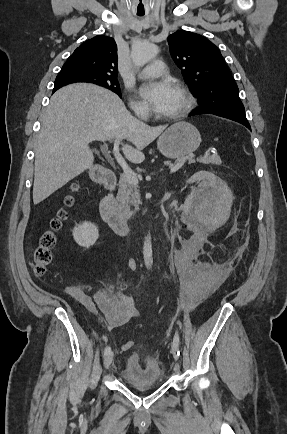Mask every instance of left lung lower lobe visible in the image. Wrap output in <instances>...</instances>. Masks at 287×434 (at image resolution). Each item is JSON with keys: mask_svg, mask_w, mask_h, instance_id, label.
Listing matches in <instances>:
<instances>
[{"mask_svg": "<svg viewBox=\"0 0 287 434\" xmlns=\"http://www.w3.org/2000/svg\"><path fill=\"white\" fill-rule=\"evenodd\" d=\"M214 114L217 116H221L224 118H228L231 120H234L236 122H239L246 126L248 129L251 130L250 124L248 123L245 115L244 108H229V107H222L219 109H210V108H197L195 109L190 116L193 115H199V114Z\"/></svg>", "mask_w": 287, "mask_h": 434, "instance_id": "left-lung-lower-lobe-1", "label": "left lung lower lobe"}]
</instances>
